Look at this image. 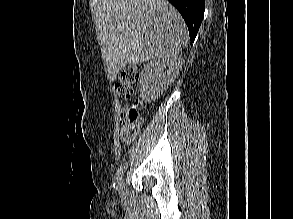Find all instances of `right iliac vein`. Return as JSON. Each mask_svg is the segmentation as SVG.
Instances as JSON below:
<instances>
[{
  "mask_svg": "<svg viewBox=\"0 0 293 219\" xmlns=\"http://www.w3.org/2000/svg\"><path fill=\"white\" fill-rule=\"evenodd\" d=\"M124 192H125V183H124V181L122 180V181L120 182L119 193H120L121 195H124Z\"/></svg>",
  "mask_w": 293,
  "mask_h": 219,
  "instance_id": "63e3f726",
  "label": "right iliac vein"
}]
</instances>
